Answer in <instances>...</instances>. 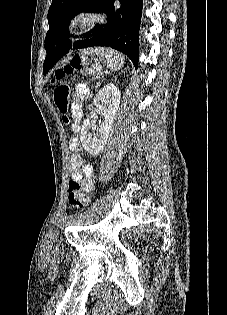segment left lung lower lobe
I'll use <instances>...</instances> for the list:
<instances>
[{
  "mask_svg": "<svg viewBox=\"0 0 227 315\" xmlns=\"http://www.w3.org/2000/svg\"><path fill=\"white\" fill-rule=\"evenodd\" d=\"M121 7L116 9L115 0H109L102 11L107 14V23L92 29L91 38L81 40L73 49L106 46L121 51L133 62L135 68L139 61V27L142 14V0H119ZM47 56L43 69L47 73L57 61L71 49L63 39H50L45 43Z\"/></svg>",
  "mask_w": 227,
  "mask_h": 315,
  "instance_id": "left-lung-lower-lobe-1",
  "label": "left lung lower lobe"
}]
</instances>
